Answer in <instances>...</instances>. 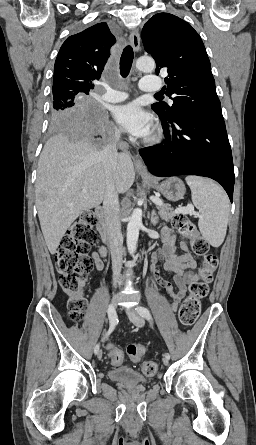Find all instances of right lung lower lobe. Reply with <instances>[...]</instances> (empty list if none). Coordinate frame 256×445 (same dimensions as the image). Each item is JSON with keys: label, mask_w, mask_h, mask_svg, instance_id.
<instances>
[{"label": "right lung lower lobe", "mask_w": 256, "mask_h": 445, "mask_svg": "<svg viewBox=\"0 0 256 445\" xmlns=\"http://www.w3.org/2000/svg\"><path fill=\"white\" fill-rule=\"evenodd\" d=\"M83 117L88 121L86 135L98 136L103 140H109L112 136V126L108 121L105 111L96 105H89L83 111Z\"/></svg>", "instance_id": "obj_1"}]
</instances>
